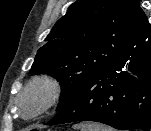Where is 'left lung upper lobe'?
I'll list each match as a JSON object with an SVG mask.
<instances>
[{
    "label": "left lung upper lobe",
    "instance_id": "1",
    "mask_svg": "<svg viewBox=\"0 0 151 131\" xmlns=\"http://www.w3.org/2000/svg\"><path fill=\"white\" fill-rule=\"evenodd\" d=\"M140 11L139 0H77L56 22L30 74L60 81L57 111L86 79L114 68L129 53Z\"/></svg>",
    "mask_w": 151,
    "mask_h": 131
}]
</instances>
